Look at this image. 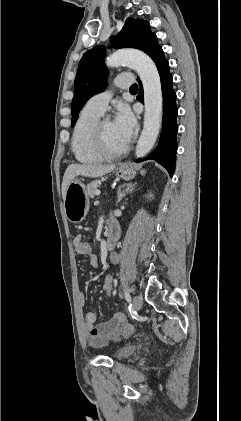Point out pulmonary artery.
<instances>
[{
    "mask_svg": "<svg viewBox=\"0 0 241 421\" xmlns=\"http://www.w3.org/2000/svg\"><path fill=\"white\" fill-rule=\"evenodd\" d=\"M133 83V79L129 75L118 76L115 80V84L118 88L126 89L129 88ZM112 98L111 91H105L94 95L89 99L87 105L90 109L103 114L107 108L109 101Z\"/></svg>",
    "mask_w": 241,
    "mask_h": 421,
    "instance_id": "1",
    "label": "pulmonary artery"
}]
</instances>
